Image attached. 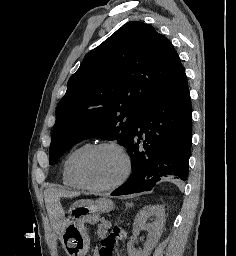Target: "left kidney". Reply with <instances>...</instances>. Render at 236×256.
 <instances>
[{
  "label": "left kidney",
  "mask_w": 236,
  "mask_h": 256,
  "mask_svg": "<svg viewBox=\"0 0 236 256\" xmlns=\"http://www.w3.org/2000/svg\"><path fill=\"white\" fill-rule=\"evenodd\" d=\"M150 216H154V222H152V224H146L145 226V222ZM164 222V206H146V208H142L135 218L133 228L134 240H130L127 246L128 256H150L153 248L157 246L160 236H162ZM142 228L149 230L151 236H149L146 244H144L143 250H136V248H134L136 236H139V230H142Z\"/></svg>",
  "instance_id": "obj_1"
}]
</instances>
